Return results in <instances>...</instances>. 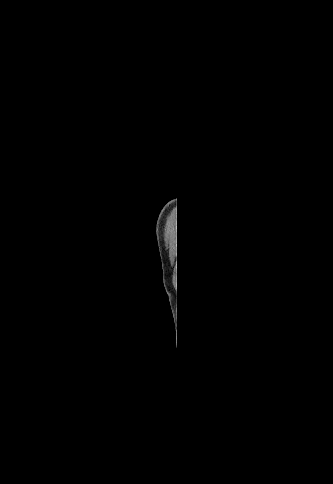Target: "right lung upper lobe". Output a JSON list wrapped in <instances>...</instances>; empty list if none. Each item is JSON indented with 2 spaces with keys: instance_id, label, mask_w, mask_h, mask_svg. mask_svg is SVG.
I'll return each instance as SVG.
<instances>
[{
  "instance_id": "right-lung-upper-lobe-1",
  "label": "right lung upper lobe",
  "mask_w": 333,
  "mask_h": 484,
  "mask_svg": "<svg viewBox=\"0 0 333 484\" xmlns=\"http://www.w3.org/2000/svg\"><path fill=\"white\" fill-rule=\"evenodd\" d=\"M179 344H180V343H179V340H178V345H179ZM181 363H182L183 367H185V366H186V356H185L184 354H182V357H181Z\"/></svg>"
}]
</instances>
